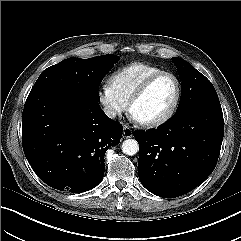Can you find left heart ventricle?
Wrapping results in <instances>:
<instances>
[{
	"mask_svg": "<svg viewBox=\"0 0 241 241\" xmlns=\"http://www.w3.org/2000/svg\"><path fill=\"white\" fill-rule=\"evenodd\" d=\"M176 94L173 78L163 76L156 80L147 93L133 107V116L139 121H151L164 115Z\"/></svg>",
	"mask_w": 241,
	"mask_h": 241,
	"instance_id": "obj_1",
	"label": "left heart ventricle"
}]
</instances>
